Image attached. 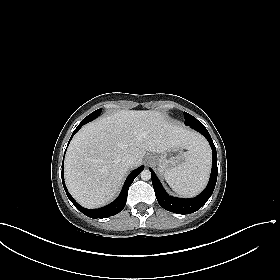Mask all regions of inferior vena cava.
<instances>
[{"label":"inferior vena cava","instance_id":"obj_1","mask_svg":"<svg viewBox=\"0 0 280 280\" xmlns=\"http://www.w3.org/2000/svg\"><path fill=\"white\" fill-rule=\"evenodd\" d=\"M123 162L127 167H130L134 164L135 162V157L131 154H127L123 157Z\"/></svg>","mask_w":280,"mask_h":280}]
</instances>
